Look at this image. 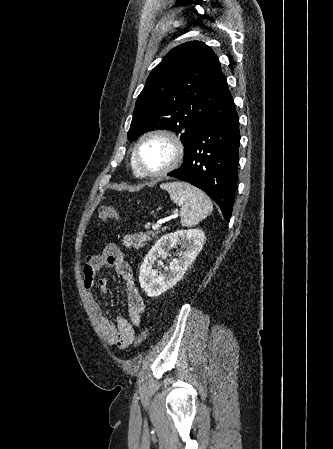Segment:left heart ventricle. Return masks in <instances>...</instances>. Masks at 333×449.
<instances>
[{
	"instance_id": "b2bd125f",
	"label": "left heart ventricle",
	"mask_w": 333,
	"mask_h": 449,
	"mask_svg": "<svg viewBox=\"0 0 333 449\" xmlns=\"http://www.w3.org/2000/svg\"><path fill=\"white\" fill-rule=\"evenodd\" d=\"M171 146L161 138H152L143 143L140 149V161L150 171L163 168L171 159Z\"/></svg>"
}]
</instances>
